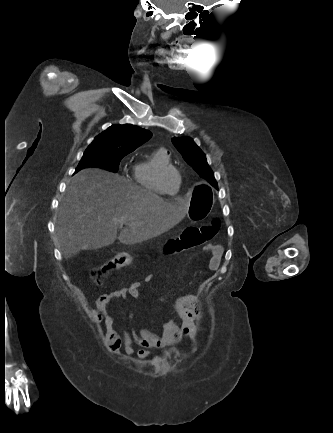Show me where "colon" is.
I'll use <instances>...</instances> for the list:
<instances>
[{
	"instance_id": "1",
	"label": "colon",
	"mask_w": 333,
	"mask_h": 433,
	"mask_svg": "<svg viewBox=\"0 0 333 433\" xmlns=\"http://www.w3.org/2000/svg\"><path fill=\"white\" fill-rule=\"evenodd\" d=\"M219 228L220 221L217 218H214L210 223L199 227H187L181 236H164L160 250L162 253H175L176 251L201 246L206 242L211 241L217 234ZM126 254L131 258L135 253L130 249ZM123 266L130 269L133 266L131 259L122 258L121 256H113L110 261L93 271V279L95 282H99L100 279L119 270Z\"/></svg>"
}]
</instances>
